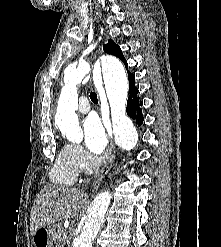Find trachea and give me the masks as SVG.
<instances>
[{"label": "trachea", "mask_w": 221, "mask_h": 247, "mask_svg": "<svg viewBox=\"0 0 221 247\" xmlns=\"http://www.w3.org/2000/svg\"><path fill=\"white\" fill-rule=\"evenodd\" d=\"M90 99L93 103H98L97 94L95 92L90 93Z\"/></svg>", "instance_id": "1"}]
</instances>
